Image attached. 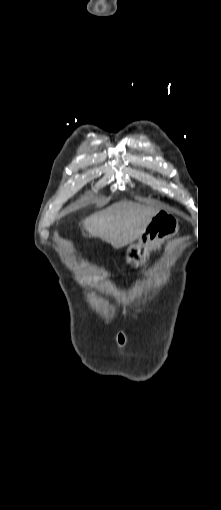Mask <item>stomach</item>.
<instances>
[{
    "instance_id": "0dacf381",
    "label": "stomach",
    "mask_w": 221,
    "mask_h": 510,
    "mask_svg": "<svg viewBox=\"0 0 221 510\" xmlns=\"http://www.w3.org/2000/svg\"><path fill=\"white\" fill-rule=\"evenodd\" d=\"M179 231L178 218L166 211H158L146 226L138 243L131 244L126 251V261L132 266L145 263L150 251L159 248L164 241Z\"/></svg>"
}]
</instances>
